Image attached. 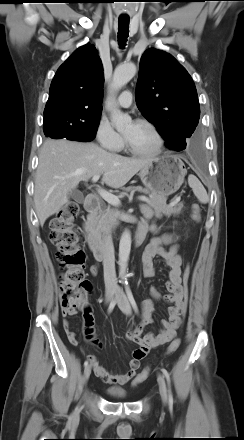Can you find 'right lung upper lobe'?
<instances>
[{
    "label": "right lung upper lobe",
    "mask_w": 244,
    "mask_h": 440,
    "mask_svg": "<svg viewBox=\"0 0 244 440\" xmlns=\"http://www.w3.org/2000/svg\"><path fill=\"white\" fill-rule=\"evenodd\" d=\"M103 83V67L96 48L90 44L78 48L52 80L44 121L87 124L100 120Z\"/></svg>",
    "instance_id": "right-lung-upper-lobe-1"
}]
</instances>
